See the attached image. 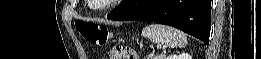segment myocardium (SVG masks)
<instances>
[{"instance_id": "f54148a6", "label": "myocardium", "mask_w": 261, "mask_h": 59, "mask_svg": "<svg viewBox=\"0 0 261 59\" xmlns=\"http://www.w3.org/2000/svg\"><path fill=\"white\" fill-rule=\"evenodd\" d=\"M116 1H118V0H101L100 2L94 1L97 3L95 8L98 10H104V9L109 8L111 6V4Z\"/></svg>"}]
</instances>
